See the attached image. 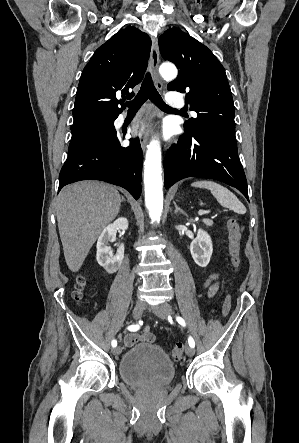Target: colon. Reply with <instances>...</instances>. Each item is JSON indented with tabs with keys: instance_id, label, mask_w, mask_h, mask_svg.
<instances>
[{
	"instance_id": "obj_1",
	"label": "colon",
	"mask_w": 299,
	"mask_h": 443,
	"mask_svg": "<svg viewBox=\"0 0 299 443\" xmlns=\"http://www.w3.org/2000/svg\"><path fill=\"white\" fill-rule=\"evenodd\" d=\"M228 228V242H229V255L231 258L232 265L236 270H239L241 267V238H242V230L240 225L234 218H230L227 223ZM86 285V280L83 276L78 277L76 288L73 293V296L76 300H81L84 295V289ZM232 299L231 296L228 295L225 298L222 307V315L225 317L229 314L231 309ZM184 354V345L179 343L172 350V356L175 360H180Z\"/></svg>"
}]
</instances>
